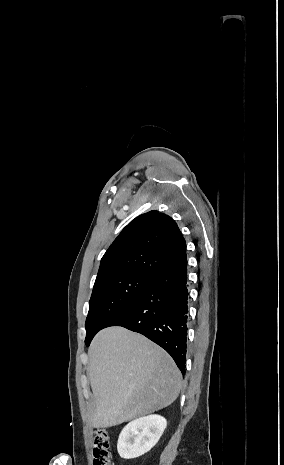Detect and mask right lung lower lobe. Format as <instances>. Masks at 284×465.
I'll return each mask as SVG.
<instances>
[{"instance_id": "right-lung-lower-lobe-1", "label": "right lung lower lobe", "mask_w": 284, "mask_h": 465, "mask_svg": "<svg viewBox=\"0 0 284 465\" xmlns=\"http://www.w3.org/2000/svg\"><path fill=\"white\" fill-rule=\"evenodd\" d=\"M187 260L153 278L104 328L122 326L165 349L185 374L188 321Z\"/></svg>"}]
</instances>
